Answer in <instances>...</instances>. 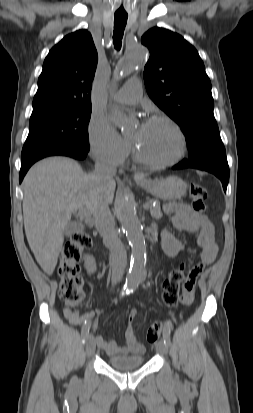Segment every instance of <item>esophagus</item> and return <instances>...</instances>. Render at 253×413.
<instances>
[{
  "label": "esophagus",
  "mask_w": 253,
  "mask_h": 413,
  "mask_svg": "<svg viewBox=\"0 0 253 413\" xmlns=\"http://www.w3.org/2000/svg\"><path fill=\"white\" fill-rule=\"evenodd\" d=\"M135 177H137V178H142V177H143V174L140 173V172H136V173H135Z\"/></svg>",
  "instance_id": "34e87169"
}]
</instances>
